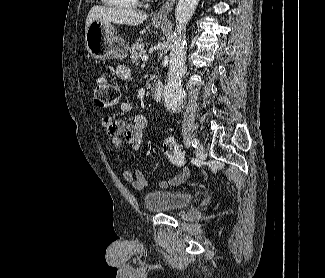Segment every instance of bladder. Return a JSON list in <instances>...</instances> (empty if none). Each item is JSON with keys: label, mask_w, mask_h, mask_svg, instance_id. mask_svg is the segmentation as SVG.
Returning <instances> with one entry per match:
<instances>
[{"label": "bladder", "mask_w": 325, "mask_h": 278, "mask_svg": "<svg viewBox=\"0 0 325 278\" xmlns=\"http://www.w3.org/2000/svg\"><path fill=\"white\" fill-rule=\"evenodd\" d=\"M192 198L183 190H153L143 196V201L150 213H172L184 209Z\"/></svg>", "instance_id": "1"}]
</instances>
